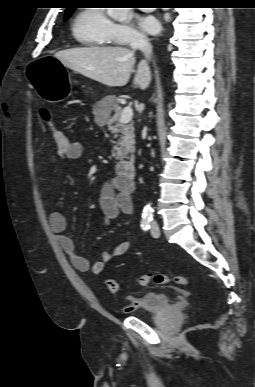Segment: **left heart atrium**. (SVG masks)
Here are the masks:
<instances>
[{"instance_id":"1","label":"left heart atrium","mask_w":255,"mask_h":387,"mask_svg":"<svg viewBox=\"0 0 255 387\" xmlns=\"http://www.w3.org/2000/svg\"><path fill=\"white\" fill-rule=\"evenodd\" d=\"M141 29L151 35H155L160 30L159 21L152 15H146L139 18Z\"/></svg>"}]
</instances>
